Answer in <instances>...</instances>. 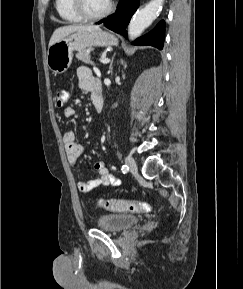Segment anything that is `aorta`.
Here are the masks:
<instances>
[{"label":"aorta","instance_id":"aorta-1","mask_svg":"<svg viewBox=\"0 0 243 289\" xmlns=\"http://www.w3.org/2000/svg\"><path fill=\"white\" fill-rule=\"evenodd\" d=\"M164 0H151L144 8L138 10L128 26L131 40L139 37L142 32L156 19Z\"/></svg>","mask_w":243,"mask_h":289}]
</instances>
